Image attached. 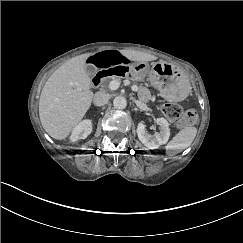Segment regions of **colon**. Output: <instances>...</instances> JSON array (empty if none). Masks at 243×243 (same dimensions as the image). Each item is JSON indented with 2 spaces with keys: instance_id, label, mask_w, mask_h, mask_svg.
Wrapping results in <instances>:
<instances>
[{
  "instance_id": "1",
  "label": "colon",
  "mask_w": 243,
  "mask_h": 243,
  "mask_svg": "<svg viewBox=\"0 0 243 243\" xmlns=\"http://www.w3.org/2000/svg\"><path fill=\"white\" fill-rule=\"evenodd\" d=\"M162 112L169 120H179V127H187L197 121V113L194 109L184 111L181 105L176 102L164 104Z\"/></svg>"
}]
</instances>
